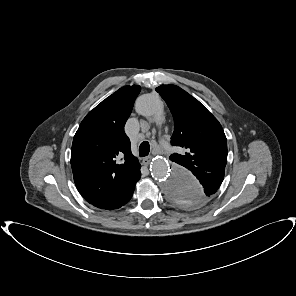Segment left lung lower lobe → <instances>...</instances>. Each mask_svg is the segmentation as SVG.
I'll return each mask as SVG.
<instances>
[{
  "instance_id": "0a47b994",
  "label": "left lung lower lobe",
  "mask_w": 296,
  "mask_h": 296,
  "mask_svg": "<svg viewBox=\"0 0 296 296\" xmlns=\"http://www.w3.org/2000/svg\"><path fill=\"white\" fill-rule=\"evenodd\" d=\"M223 178H224V177H223ZM222 181H223V179H222ZM222 181H221V182H222ZM221 182H220V184H221ZM218 183H219V182H218ZM220 184H216L214 187H212V191H213V192H216L217 189L219 188Z\"/></svg>"
}]
</instances>
